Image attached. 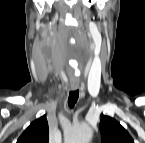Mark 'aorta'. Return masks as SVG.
<instances>
[{"label":"aorta","instance_id":"aorta-1","mask_svg":"<svg viewBox=\"0 0 145 143\" xmlns=\"http://www.w3.org/2000/svg\"><path fill=\"white\" fill-rule=\"evenodd\" d=\"M93 131L90 126L83 124L74 126L65 135L66 143H89Z\"/></svg>","mask_w":145,"mask_h":143}]
</instances>
